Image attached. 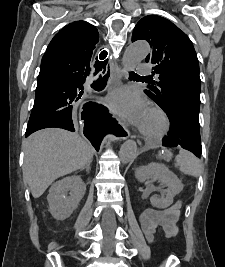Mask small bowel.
<instances>
[{
	"instance_id": "obj_1",
	"label": "small bowel",
	"mask_w": 225,
	"mask_h": 267,
	"mask_svg": "<svg viewBox=\"0 0 225 267\" xmlns=\"http://www.w3.org/2000/svg\"><path fill=\"white\" fill-rule=\"evenodd\" d=\"M179 204L177 202L163 210L149 208L144 211L141 226L148 241L153 242L157 232H161L166 238H173L177 234Z\"/></svg>"
}]
</instances>
